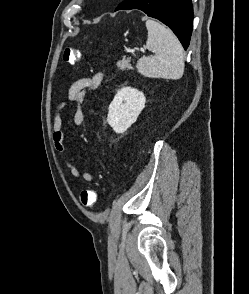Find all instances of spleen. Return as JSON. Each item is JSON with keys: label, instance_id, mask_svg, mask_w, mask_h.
Listing matches in <instances>:
<instances>
[{"label": "spleen", "instance_id": "1", "mask_svg": "<svg viewBox=\"0 0 249 294\" xmlns=\"http://www.w3.org/2000/svg\"><path fill=\"white\" fill-rule=\"evenodd\" d=\"M148 38L146 47L155 53L153 57H141L138 72L149 78L180 79L184 73L183 48L174 33L152 19L146 20Z\"/></svg>", "mask_w": 249, "mask_h": 294}]
</instances>
